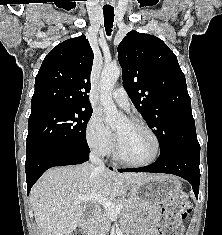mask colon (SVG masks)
Wrapping results in <instances>:
<instances>
[{
    "label": "colon",
    "instance_id": "colon-1",
    "mask_svg": "<svg viewBox=\"0 0 222 235\" xmlns=\"http://www.w3.org/2000/svg\"><path fill=\"white\" fill-rule=\"evenodd\" d=\"M191 211V203L183 193L177 194L171 201L164 205L163 213L165 215L162 235H179L180 225L177 220L184 219ZM72 235H82L77 232Z\"/></svg>",
    "mask_w": 222,
    "mask_h": 235
}]
</instances>
